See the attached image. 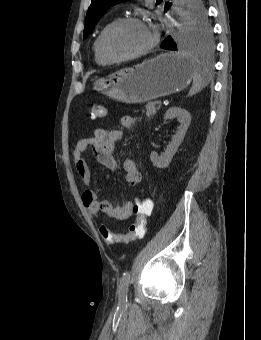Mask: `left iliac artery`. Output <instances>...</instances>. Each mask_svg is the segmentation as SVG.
Here are the masks:
<instances>
[{
    "instance_id": "1",
    "label": "left iliac artery",
    "mask_w": 261,
    "mask_h": 340,
    "mask_svg": "<svg viewBox=\"0 0 261 340\" xmlns=\"http://www.w3.org/2000/svg\"><path fill=\"white\" fill-rule=\"evenodd\" d=\"M130 277H131L130 272L126 271L123 273V276L120 281L118 293H119V303L121 305H124L127 302V292H128Z\"/></svg>"
}]
</instances>
